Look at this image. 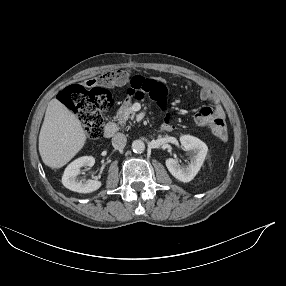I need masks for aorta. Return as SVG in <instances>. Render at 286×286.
<instances>
[{"mask_svg": "<svg viewBox=\"0 0 286 286\" xmlns=\"http://www.w3.org/2000/svg\"><path fill=\"white\" fill-rule=\"evenodd\" d=\"M132 150L135 152V153H143L144 150H145V144L143 141L141 140H135L133 141L132 143Z\"/></svg>", "mask_w": 286, "mask_h": 286, "instance_id": "obj_1", "label": "aorta"}]
</instances>
